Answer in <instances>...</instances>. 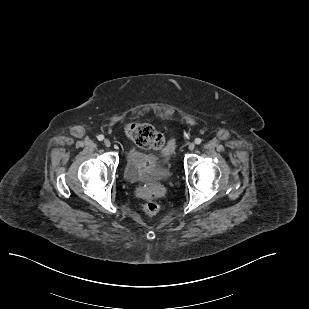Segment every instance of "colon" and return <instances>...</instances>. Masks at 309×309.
<instances>
[{"label": "colon", "instance_id": "obj_1", "mask_svg": "<svg viewBox=\"0 0 309 309\" xmlns=\"http://www.w3.org/2000/svg\"><path fill=\"white\" fill-rule=\"evenodd\" d=\"M126 134L139 147L145 149H163L165 141L163 136L152 126L145 123H131L126 127ZM144 211L150 215H156L160 206L155 201L144 204Z\"/></svg>", "mask_w": 309, "mask_h": 309}]
</instances>
